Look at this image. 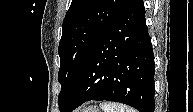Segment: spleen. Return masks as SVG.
Returning <instances> with one entry per match:
<instances>
[{"mask_svg":"<svg viewBox=\"0 0 193 112\" xmlns=\"http://www.w3.org/2000/svg\"><path fill=\"white\" fill-rule=\"evenodd\" d=\"M101 109L103 112H137L135 109L127 107L122 104H117V103H102L100 105Z\"/></svg>","mask_w":193,"mask_h":112,"instance_id":"spleen-1","label":"spleen"}]
</instances>
